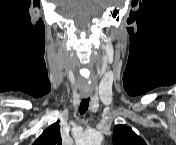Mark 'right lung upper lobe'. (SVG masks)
I'll use <instances>...</instances> for the list:
<instances>
[{
    "mask_svg": "<svg viewBox=\"0 0 176 145\" xmlns=\"http://www.w3.org/2000/svg\"><path fill=\"white\" fill-rule=\"evenodd\" d=\"M33 145H62L59 121L49 126Z\"/></svg>",
    "mask_w": 176,
    "mask_h": 145,
    "instance_id": "cb5924a9",
    "label": "right lung upper lobe"
}]
</instances>
